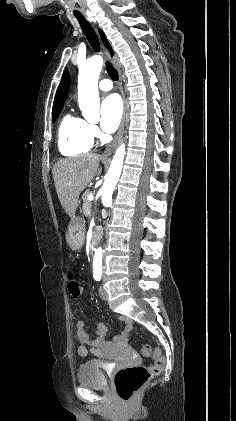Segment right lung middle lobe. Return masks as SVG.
<instances>
[{"label":"right lung middle lobe","mask_w":236,"mask_h":421,"mask_svg":"<svg viewBox=\"0 0 236 421\" xmlns=\"http://www.w3.org/2000/svg\"><path fill=\"white\" fill-rule=\"evenodd\" d=\"M61 109L58 110H54L53 114H52V121L54 122L56 120V118L58 117L59 113H60Z\"/></svg>","instance_id":"1"}]
</instances>
